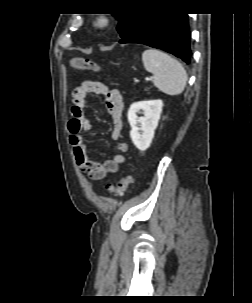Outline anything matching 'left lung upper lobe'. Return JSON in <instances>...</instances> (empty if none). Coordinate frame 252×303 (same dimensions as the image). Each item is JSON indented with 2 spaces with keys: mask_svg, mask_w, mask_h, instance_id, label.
<instances>
[{
  "mask_svg": "<svg viewBox=\"0 0 252 303\" xmlns=\"http://www.w3.org/2000/svg\"><path fill=\"white\" fill-rule=\"evenodd\" d=\"M143 14L144 12L141 10L133 13L114 14L119 20L117 30L119 31L121 38L127 36L135 28Z\"/></svg>",
  "mask_w": 252,
  "mask_h": 303,
  "instance_id": "1",
  "label": "left lung upper lobe"
}]
</instances>
